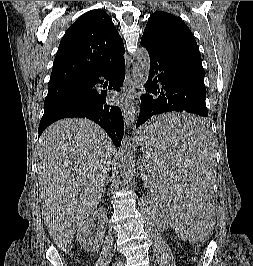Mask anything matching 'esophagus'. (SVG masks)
Wrapping results in <instances>:
<instances>
[{
    "instance_id": "1",
    "label": "esophagus",
    "mask_w": 253,
    "mask_h": 266,
    "mask_svg": "<svg viewBox=\"0 0 253 266\" xmlns=\"http://www.w3.org/2000/svg\"><path fill=\"white\" fill-rule=\"evenodd\" d=\"M134 87V83H133V78L132 75L130 74V72L126 73V77H125V84H124V89H126L127 91H131ZM135 109L133 107V105H125L122 108V115H123V119H124V123L127 127H130L135 119Z\"/></svg>"
}]
</instances>
